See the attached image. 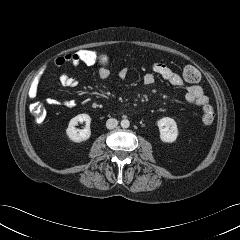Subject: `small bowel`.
I'll return each mask as SVG.
<instances>
[{
    "label": "small bowel",
    "mask_w": 240,
    "mask_h": 240,
    "mask_svg": "<svg viewBox=\"0 0 240 240\" xmlns=\"http://www.w3.org/2000/svg\"><path fill=\"white\" fill-rule=\"evenodd\" d=\"M53 64L56 67H64L67 65H73L72 60L70 58V54H65L56 57L53 60ZM74 66V65H73ZM118 70V76L120 79H126L129 73L128 67L123 63L121 64ZM111 72L108 67H100L98 70V77L101 81H107L110 78ZM156 76L161 77L165 81H167L170 85L174 87H185L186 94L185 99L190 104H195L197 106H208L210 105V98L204 93L202 87L198 84H191V85H185L186 81L184 77L175 71H173L171 68H169L167 65H165L162 62H155L152 65V72L146 73L143 76V83L145 85H152L155 82ZM59 82L63 87L67 88H75L78 85V81L69 75L67 72H63L59 77ZM38 84L39 80L36 79L30 86L28 91V96L30 99H33L36 97L38 93ZM46 102L49 105L57 106V105H63L67 108H72L76 105L75 100L73 99H65L60 100L54 97H49L46 99Z\"/></svg>",
    "instance_id": "obj_1"
}]
</instances>
